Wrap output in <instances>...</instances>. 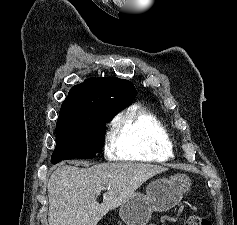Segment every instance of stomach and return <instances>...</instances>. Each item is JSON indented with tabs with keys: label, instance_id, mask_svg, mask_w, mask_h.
<instances>
[{
	"label": "stomach",
	"instance_id": "1",
	"mask_svg": "<svg viewBox=\"0 0 237 225\" xmlns=\"http://www.w3.org/2000/svg\"><path fill=\"white\" fill-rule=\"evenodd\" d=\"M190 186V178L181 173L156 179L148 184L146 194L134 193L123 202L119 215L127 225H145L153 211L165 212L177 205Z\"/></svg>",
	"mask_w": 237,
	"mask_h": 225
}]
</instances>
